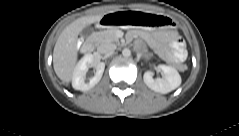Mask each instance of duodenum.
I'll return each instance as SVG.
<instances>
[{"mask_svg":"<svg viewBox=\"0 0 239 136\" xmlns=\"http://www.w3.org/2000/svg\"><path fill=\"white\" fill-rule=\"evenodd\" d=\"M112 23V20L111 19H105L104 20V25H108ZM94 49V43L92 41H88V42H85L82 46H81V50L84 52V53H91Z\"/></svg>","mask_w":239,"mask_h":136,"instance_id":"duodenum-1","label":"duodenum"}]
</instances>
